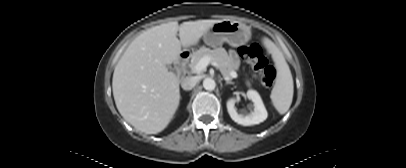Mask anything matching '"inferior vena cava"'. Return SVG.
Wrapping results in <instances>:
<instances>
[{"label":"inferior vena cava","instance_id":"inferior-vena-cava-1","mask_svg":"<svg viewBox=\"0 0 406 168\" xmlns=\"http://www.w3.org/2000/svg\"><path fill=\"white\" fill-rule=\"evenodd\" d=\"M196 84H197L196 77H186L182 80L181 87L184 90H191L195 87Z\"/></svg>","mask_w":406,"mask_h":168}]
</instances>
